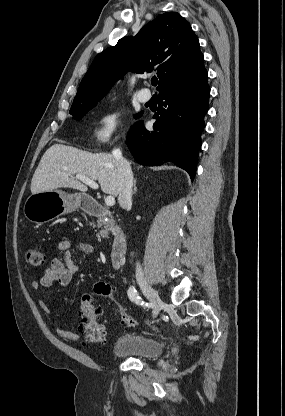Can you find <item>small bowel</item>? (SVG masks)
I'll use <instances>...</instances> for the list:
<instances>
[{"label": "small bowel", "instance_id": "obj_1", "mask_svg": "<svg viewBox=\"0 0 285 416\" xmlns=\"http://www.w3.org/2000/svg\"><path fill=\"white\" fill-rule=\"evenodd\" d=\"M57 247L61 252L64 253V260L62 261L59 259H53L50 262L40 280L32 282V287L35 290H38L41 287L50 288L54 285L67 287L71 283L74 275L77 273L78 266L71 258V241L69 239L63 238L59 241ZM80 249L87 253L92 251V247L86 244L80 245ZM38 304L40 308L47 314L53 315V310L45 300L40 299ZM56 331L57 334L65 340H80V336L77 333L65 329L61 324L57 326Z\"/></svg>", "mask_w": 285, "mask_h": 416}]
</instances>
